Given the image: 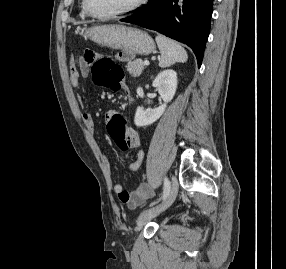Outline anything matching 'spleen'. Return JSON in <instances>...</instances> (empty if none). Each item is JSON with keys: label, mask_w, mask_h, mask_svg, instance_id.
Returning a JSON list of instances; mask_svg holds the SVG:
<instances>
[{"label": "spleen", "mask_w": 286, "mask_h": 269, "mask_svg": "<svg viewBox=\"0 0 286 269\" xmlns=\"http://www.w3.org/2000/svg\"><path fill=\"white\" fill-rule=\"evenodd\" d=\"M156 42L161 53L159 66L169 67L176 62H186L188 55L186 50L177 42L163 35H156Z\"/></svg>", "instance_id": "spleen-1"}]
</instances>
